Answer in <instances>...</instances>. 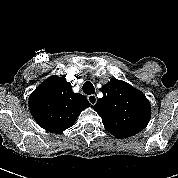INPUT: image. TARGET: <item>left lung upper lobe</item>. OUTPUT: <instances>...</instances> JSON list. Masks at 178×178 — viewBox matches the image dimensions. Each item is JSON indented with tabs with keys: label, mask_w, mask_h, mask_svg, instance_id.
<instances>
[{
	"label": "left lung upper lobe",
	"mask_w": 178,
	"mask_h": 178,
	"mask_svg": "<svg viewBox=\"0 0 178 178\" xmlns=\"http://www.w3.org/2000/svg\"><path fill=\"white\" fill-rule=\"evenodd\" d=\"M100 91L94 105L106 129L117 138H128L143 130L150 120V104L145 95L124 81L111 79Z\"/></svg>",
	"instance_id": "1"
}]
</instances>
